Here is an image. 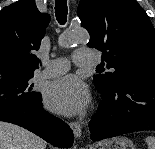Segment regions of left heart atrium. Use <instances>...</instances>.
<instances>
[{
    "mask_svg": "<svg viewBox=\"0 0 155 149\" xmlns=\"http://www.w3.org/2000/svg\"><path fill=\"white\" fill-rule=\"evenodd\" d=\"M46 106L53 112L75 115L89 103L86 85L75 75H66L51 82L45 91Z\"/></svg>",
    "mask_w": 155,
    "mask_h": 149,
    "instance_id": "1",
    "label": "left heart atrium"
}]
</instances>
